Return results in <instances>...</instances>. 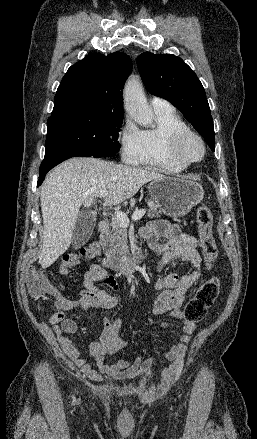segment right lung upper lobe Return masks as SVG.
<instances>
[{"label":"right lung upper lobe","mask_w":257,"mask_h":439,"mask_svg":"<svg viewBox=\"0 0 257 439\" xmlns=\"http://www.w3.org/2000/svg\"><path fill=\"white\" fill-rule=\"evenodd\" d=\"M132 70L130 57L90 53L64 75L51 117L72 111L124 114L122 89Z\"/></svg>","instance_id":"right-lung-upper-lobe-1"}]
</instances>
